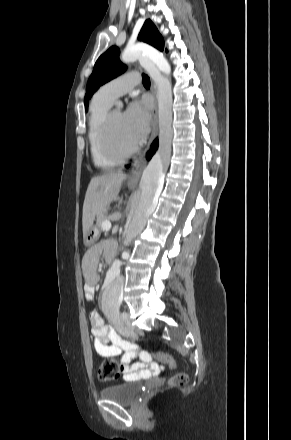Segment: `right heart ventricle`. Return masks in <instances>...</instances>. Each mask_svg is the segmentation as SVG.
<instances>
[{
    "label": "right heart ventricle",
    "mask_w": 291,
    "mask_h": 440,
    "mask_svg": "<svg viewBox=\"0 0 291 440\" xmlns=\"http://www.w3.org/2000/svg\"><path fill=\"white\" fill-rule=\"evenodd\" d=\"M111 101L103 98L99 92L95 94L90 105L88 141L93 163L97 167L111 168L118 162L110 159L104 152L100 137L103 121L110 110Z\"/></svg>",
    "instance_id": "right-heart-ventricle-1"
}]
</instances>
